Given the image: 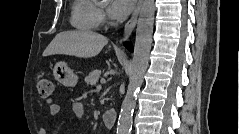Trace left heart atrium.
I'll use <instances>...</instances> for the list:
<instances>
[{
    "label": "left heart atrium",
    "instance_id": "left-heart-atrium-1",
    "mask_svg": "<svg viewBox=\"0 0 239 134\" xmlns=\"http://www.w3.org/2000/svg\"><path fill=\"white\" fill-rule=\"evenodd\" d=\"M134 0H114L109 5V15L111 18L124 20L132 11Z\"/></svg>",
    "mask_w": 239,
    "mask_h": 134
}]
</instances>
